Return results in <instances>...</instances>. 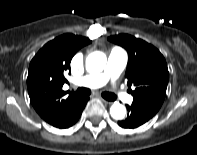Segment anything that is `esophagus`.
Returning a JSON list of instances; mask_svg holds the SVG:
<instances>
[{
	"label": "esophagus",
	"instance_id": "esophagus-1",
	"mask_svg": "<svg viewBox=\"0 0 197 155\" xmlns=\"http://www.w3.org/2000/svg\"><path fill=\"white\" fill-rule=\"evenodd\" d=\"M101 100H102V102H103L104 104H106V105H111V104H112V102L107 101V100H105V99H101Z\"/></svg>",
	"mask_w": 197,
	"mask_h": 155
}]
</instances>
